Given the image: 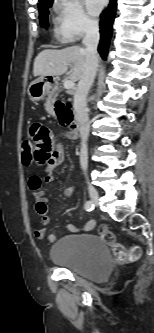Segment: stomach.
I'll return each instance as SVG.
<instances>
[{"instance_id": "1", "label": "stomach", "mask_w": 154, "mask_h": 333, "mask_svg": "<svg viewBox=\"0 0 154 333\" xmlns=\"http://www.w3.org/2000/svg\"><path fill=\"white\" fill-rule=\"evenodd\" d=\"M51 85L44 77L34 80L28 87V96L32 101H40L49 95Z\"/></svg>"}]
</instances>
